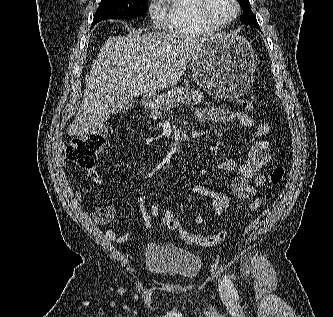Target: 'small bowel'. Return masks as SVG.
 I'll return each instance as SVG.
<instances>
[{"instance_id": "c3829d8e", "label": "small bowel", "mask_w": 333, "mask_h": 317, "mask_svg": "<svg viewBox=\"0 0 333 317\" xmlns=\"http://www.w3.org/2000/svg\"><path fill=\"white\" fill-rule=\"evenodd\" d=\"M195 115L203 122H236L245 129L253 130V141L247 156L242 160L228 158L216 168L218 171L234 173L231 181V193L235 198L248 199L253 196L257 189L261 188L266 182L262 170L271 159V151L266 139L270 129L269 125L264 122L254 125L253 119L249 115L221 107H203L198 109ZM208 172L205 169L200 170L201 174ZM90 178L94 183L100 184L99 173L97 171H92ZM192 192L210 200L211 208L216 217H219L225 210L231 207L232 200L229 196L207 189L200 184H194ZM74 198L80 200L81 194L75 191ZM139 211L144 227L151 229L153 226L152 218L159 219L160 210L152 203L148 196H144L140 201ZM114 216L115 209L112 206L100 207L93 213L94 221L100 226L108 225ZM204 222L205 217L202 214L195 216V225L200 226ZM106 236L111 241L117 243H125L130 239L129 234H120L115 229L107 230Z\"/></svg>"}]
</instances>
